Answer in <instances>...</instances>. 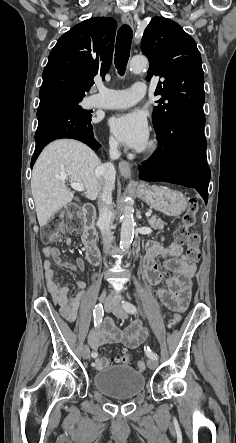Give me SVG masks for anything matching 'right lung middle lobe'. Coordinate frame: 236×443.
Returning <instances> with one entry per match:
<instances>
[{
    "instance_id": "1",
    "label": "right lung middle lobe",
    "mask_w": 236,
    "mask_h": 443,
    "mask_svg": "<svg viewBox=\"0 0 236 443\" xmlns=\"http://www.w3.org/2000/svg\"><path fill=\"white\" fill-rule=\"evenodd\" d=\"M60 99H63L64 101L70 103L76 110L83 116H90V112L87 110H84L79 103L83 99V96L80 95H71V94H57L54 95Z\"/></svg>"
}]
</instances>
